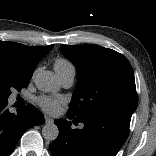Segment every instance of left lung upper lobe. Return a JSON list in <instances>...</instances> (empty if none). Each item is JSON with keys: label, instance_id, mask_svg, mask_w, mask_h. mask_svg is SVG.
<instances>
[{"label": "left lung upper lobe", "instance_id": "1", "mask_svg": "<svg viewBox=\"0 0 156 156\" xmlns=\"http://www.w3.org/2000/svg\"><path fill=\"white\" fill-rule=\"evenodd\" d=\"M60 50L78 71L68 114L78 118L116 114L131 120L138 97L126 57L97 45H62Z\"/></svg>", "mask_w": 156, "mask_h": 156}]
</instances>
